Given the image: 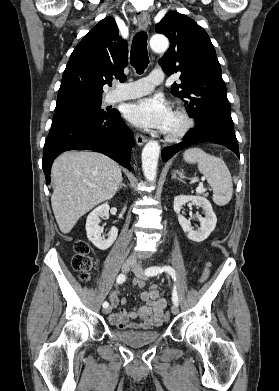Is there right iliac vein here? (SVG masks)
Masks as SVG:
<instances>
[{"mask_svg":"<svg viewBox=\"0 0 279 391\" xmlns=\"http://www.w3.org/2000/svg\"><path fill=\"white\" fill-rule=\"evenodd\" d=\"M133 265H134V259L132 257H128L127 259H125V261L122 264L123 273H127L133 267ZM111 310H112L111 306L106 307L103 309V313L109 314Z\"/></svg>","mask_w":279,"mask_h":391,"instance_id":"1","label":"right iliac vein"}]
</instances>
